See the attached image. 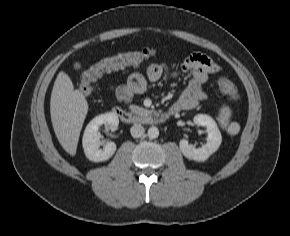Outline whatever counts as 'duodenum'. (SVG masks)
<instances>
[{
  "label": "duodenum",
  "mask_w": 290,
  "mask_h": 236,
  "mask_svg": "<svg viewBox=\"0 0 290 236\" xmlns=\"http://www.w3.org/2000/svg\"><path fill=\"white\" fill-rule=\"evenodd\" d=\"M116 115L123 123L126 124H161L169 118V113L158 111L134 112L122 108H114Z\"/></svg>",
  "instance_id": "duodenum-1"
}]
</instances>
